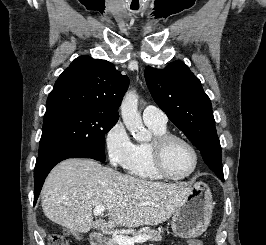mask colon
Returning a JSON list of instances; mask_svg holds the SVG:
<instances>
[{
    "label": "colon",
    "mask_w": 266,
    "mask_h": 245,
    "mask_svg": "<svg viewBox=\"0 0 266 245\" xmlns=\"http://www.w3.org/2000/svg\"><path fill=\"white\" fill-rule=\"evenodd\" d=\"M49 244L50 245H69L67 238L65 237V233L57 234L50 233L48 235Z\"/></svg>",
    "instance_id": "obj_1"
}]
</instances>
